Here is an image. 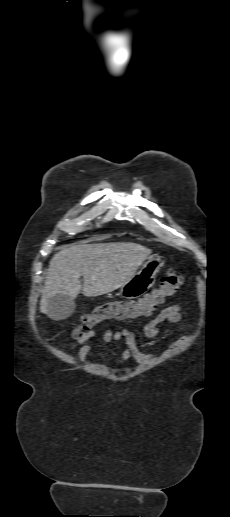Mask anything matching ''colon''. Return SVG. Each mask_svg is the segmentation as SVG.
<instances>
[{
    "label": "colon",
    "instance_id": "5ec220e1",
    "mask_svg": "<svg viewBox=\"0 0 230 517\" xmlns=\"http://www.w3.org/2000/svg\"><path fill=\"white\" fill-rule=\"evenodd\" d=\"M182 281V275L171 270L162 278L159 288L139 300L112 301L95 307L82 316L73 330V336L80 338L106 320H137L152 315L167 298L175 294Z\"/></svg>",
    "mask_w": 230,
    "mask_h": 517
}]
</instances>
